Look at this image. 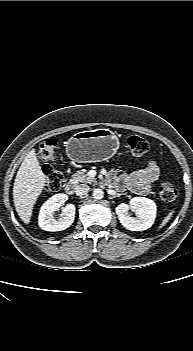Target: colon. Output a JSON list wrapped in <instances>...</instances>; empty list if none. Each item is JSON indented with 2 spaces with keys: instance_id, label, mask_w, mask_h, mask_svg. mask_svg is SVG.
<instances>
[{
  "instance_id": "colon-1",
  "label": "colon",
  "mask_w": 193,
  "mask_h": 351,
  "mask_svg": "<svg viewBox=\"0 0 193 351\" xmlns=\"http://www.w3.org/2000/svg\"><path fill=\"white\" fill-rule=\"evenodd\" d=\"M127 145L134 156L145 155L149 150L147 140L136 135H132L127 139ZM38 156L40 160L47 164V167L44 170V189L47 192L57 191L64 181L63 173L51 165L58 156L57 140L53 138L44 140L40 145ZM158 194L161 200L172 202L176 199L178 191L174 183L169 180H163L158 187Z\"/></svg>"
}]
</instances>
